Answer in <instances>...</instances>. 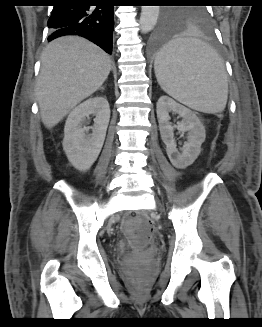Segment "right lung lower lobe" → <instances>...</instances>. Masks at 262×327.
Wrapping results in <instances>:
<instances>
[{
  "label": "right lung lower lobe",
  "mask_w": 262,
  "mask_h": 327,
  "mask_svg": "<svg viewBox=\"0 0 262 327\" xmlns=\"http://www.w3.org/2000/svg\"><path fill=\"white\" fill-rule=\"evenodd\" d=\"M48 20V41L64 35H79L112 53L114 26L113 6L100 2L89 6L82 0H59Z\"/></svg>",
  "instance_id": "98d812e1"
}]
</instances>
